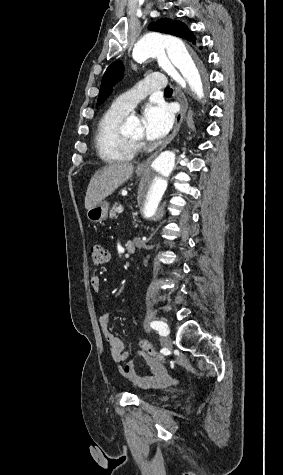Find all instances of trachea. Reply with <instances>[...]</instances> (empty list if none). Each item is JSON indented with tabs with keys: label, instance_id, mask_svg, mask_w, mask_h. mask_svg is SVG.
I'll list each match as a JSON object with an SVG mask.
<instances>
[{
	"label": "trachea",
	"instance_id": "1",
	"mask_svg": "<svg viewBox=\"0 0 283 475\" xmlns=\"http://www.w3.org/2000/svg\"><path fill=\"white\" fill-rule=\"evenodd\" d=\"M172 92H173L172 88H169V87L165 88V90H164L165 94L172 95Z\"/></svg>",
	"mask_w": 283,
	"mask_h": 475
}]
</instances>
